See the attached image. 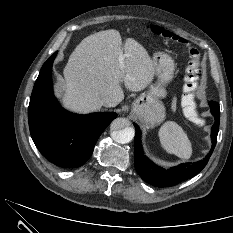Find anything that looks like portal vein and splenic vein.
I'll use <instances>...</instances> for the list:
<instances>
[{"label": "portal vein and splenic vein", "instance_id": "18ae733b", "mask_svg": "<svg viewBox=\"0 0 233 233\" xmlns=\"http://www.w3.org/2000/svg\"><path fill=\"white\" fill-rule=\"evenodd\" d=\"M124 59H125V56L123 53H121L118 57V60H119V63H120V67L123 68L124 66Z\"/></svg>", "mask_w": 233, "mask_h": 233}]
</instances>
